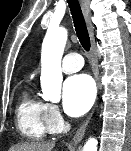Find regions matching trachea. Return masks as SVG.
Segmentation results:
<instances>
[{"instance_id": "1", "label": "trachea", "mask_w": 131, "mask_h": 151, "mask_svg": "<svg viewBox=\"0 0 131 151\" xmlns=\"http://www.w3.org/2000/svg\"><path fill=\"white\" fill-rule=\"evenodd\" d=\"M70 11L72 14L74 27L78 36V39L82 47L86 50H90V37L86 27V23L82 14V10L78 0H67Z\"/></svg>"}]
</instances>
